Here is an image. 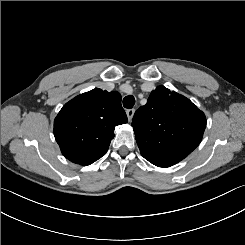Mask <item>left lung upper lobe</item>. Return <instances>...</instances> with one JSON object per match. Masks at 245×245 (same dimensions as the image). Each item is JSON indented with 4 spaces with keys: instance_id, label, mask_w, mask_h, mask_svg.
<instances>
[{
    "instance_id": "5c2ea615",
    "label": "left lung upper lobe",
    "mask_w": 245,
    "mask_h": 245,
    "mask_svg": "<svg viewBox=\"0 0 245 245\" xmlns=\"http://www.w3.org/2000/svg\"><path fill=\"white\" fill-rule=\"evenodd\" d=\"M132 126L140 153L149 162L157 156L181 161L201 142L206 117L188 98L158 86L135 112Z\"/></svg>"
}]
</instances>
